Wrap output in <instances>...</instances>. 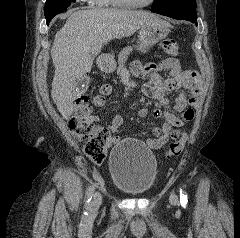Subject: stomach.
<instances>
[{
	"mask_svg": "<svg viewBox=\"0 0 240 238\" xmlns=\"http://www.w3.org/2000/svg\"><path fill=\"white\" fill-rule=\"evenodd\" d=\"M170 25L166 21H158L145 24L139 31V45L137 49L145 53L150 47L167 37L170 32ZM103 71L111 72L115 69L113 61L102 62L99 64Z\"/></svg>",
	"mask_w": 240,
	"mask_h": 238,
	"instance_id": "0dacf381",
	"label": "stomach"
}]
</instances>
